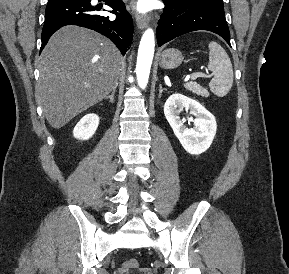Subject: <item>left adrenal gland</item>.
I'll use <instances>...</instances> for the list:
<instances>
[{
    "mask_svg": "<svg viewBox=\"0 0 289 274\" xmlns=\"http://www.w3.org/2000/svg\"><path fill=\"white\" fill-rule=\"evenodd\" d=\"M159 88H160V89H159V98H160L161 95H162V92H163L165 89L162 88V85H161V84L159 85Z\"/></svg>",
    "mask_w": 289,
    "mask_h": 274,
    "instance_id": "obj_1",
    "label": "left adrenal gland"
}]
</instances>
